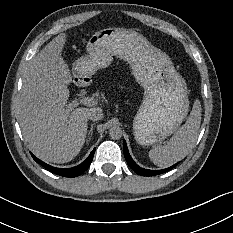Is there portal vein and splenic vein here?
Here are the masks:
<instances>
[{
    "label": "portal vein and splenic vein",
    "instance_id": "18ae733b",
    "mask_svg": "<svg viewBox=\"0 0 233 233\" xmlns=\"http://www.w3.org/2000/svg\"><path fill=\"white\" fill-rule=\"evenodd\" d=\"M96 102V100L94 98L91 97H86L80 100V103L82 104H87V105H94V103ZM78 103H75L74 106H77Z\"/></svg>",
    "mask_w": 233,
    "mask_h": 233
}]
</instances>
